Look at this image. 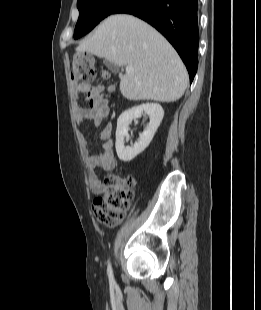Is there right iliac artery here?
Masks as SVG:
<instances>
[{
    "instance_id": "1",
    "label": "right iliac artery",
    "mask_w": 261,
    "mask_h": 310,
    "mask_svg": "<svg viewBox=\"0 0 261 310\" xmlns=\"http://www.w3.org/2000/svg\"><path fill=\"white\" fill-rule=\"evenodd\" d=\"M107 273H108L110 285L114 286L115 285V280H114V277H113L112 268H111L110 263H108Z\"/></svg>"
}]
</instances>
